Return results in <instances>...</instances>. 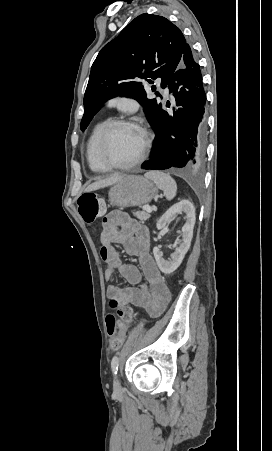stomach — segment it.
Masks as SVG:
<instances>
[{
	"label": "stomach",
	"instance_id": "0dacf381",
	"mask_svg": "<svg viewBox=\"0 0 272 451\" xmlns=\"http://www.w3.org/2000/svg\"><path fill=\"white\" fill-rule=\"evenodd\" d=\"M157 192L153 182L143 176H123L120 182L112 186L109 202L111 206H118V208L142 206L151 202Z\"/></svg>",
	"mask_w": 272,
	"mask_h": 451
}]
</instances>
